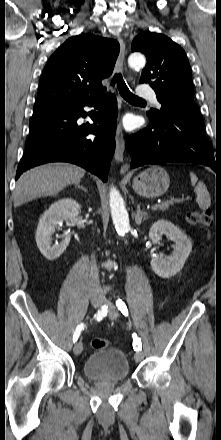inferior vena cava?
I'll list each match as a JSON object with an SVG mask.
<instances>
[{"mask_svg": "<svg viewBox=\"0 0 221 440\" xmlns=\"http://www.w3.org/2000/svg\"><path fill=\"white\" fill-rule=\"evenodd\" d=\"M90 281L92 286V293L94 295H98L99 273L94 259L91 262Z\"/></svg>", "mask_w": 221, "mask_h": 440, "instance_id": "602c4592", "label": "inferior vena cava"}]
</instances>
